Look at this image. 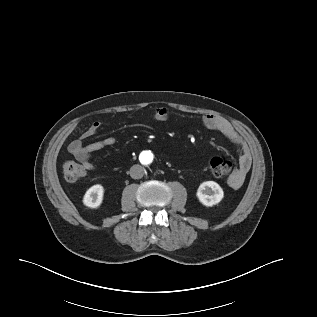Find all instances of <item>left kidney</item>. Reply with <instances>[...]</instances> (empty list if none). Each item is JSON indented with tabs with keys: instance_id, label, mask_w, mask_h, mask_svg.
Segmentation results:
<instances>
[{
	"instance_id": "obj_1",
	"label": "left kidney",
	"mask_w": 317,
	"mask_h": 317,
	"mask_svg": "<svg viewBox=\"0 0 317 317\" xmlns=\"http://www.w3.org/2000/svg\"><path fill=\"white\" fill-rule=\"evenodd\" d=\"M198 200L205 206L210 207L218 204L223 198V190L214 181H205L197 190Z\"/></svg>"
}]
</instances>
